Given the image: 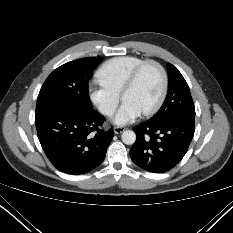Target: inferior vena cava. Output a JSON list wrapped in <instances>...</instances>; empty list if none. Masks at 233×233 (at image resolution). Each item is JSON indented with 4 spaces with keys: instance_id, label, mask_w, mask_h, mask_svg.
<instances>
[{
    "instance_id": "1",
    "label": "inferior vena cava",
    "mask_w": 233,
    "mask_h": 233,
    "mask_svg": "<svg viewBox=\"0 0 233 233\" xmlns=\"http://www.w3.org/2000/svg\"><path fill=\"white\" fill-rule=\"evenodd\" d=\"M101 113L105 114V115H112L114 113V109L108 106H103L100 108Z\"/></svg>"
}]
</instances>
